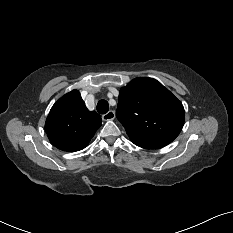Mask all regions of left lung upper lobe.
I'll list each match as a JSON object with an SVG mask.
<instances>
[{"label": "left lung upper lobe", "instance_id": "1", "mask_svg": "<svg viewBox=\"0 0 233 233\" xmlns=\"http://www.w3.org/2000/svg\"><path fill=\"white\" fill-rule=\"evenodd\" d=\"M116 115L130 140L146 149L168 145L184 124L182 103L152 78H135L120 90Z\"/></svg>", "mask_w": 233, "mask_h": 233}]
</instances>
